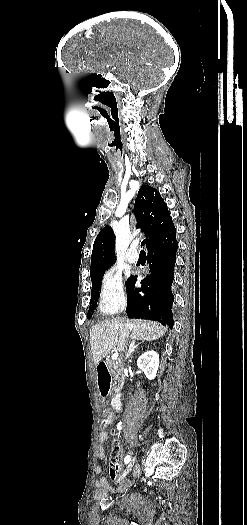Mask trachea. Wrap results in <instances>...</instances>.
Here are the masks:
<instances>
[{"mask_svg": "<svg viewBox=\"0 0 247 525\" xmlns=\"http://www.w3.org/2000/svg\"><path fill=\"white\" fill-rule=\"evenodd\" d=\"M145 244H146V240H143V241L141 242V246L144 247ZM140 253H145V252H144V250H141Z\"/></svg>", "mask_w": 247, "mask_h": 525, "instance_id": "obj_1", "label": "trachea"}]
</instances>
